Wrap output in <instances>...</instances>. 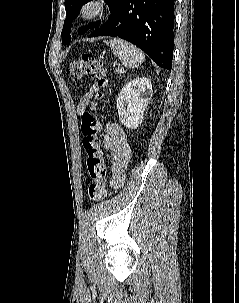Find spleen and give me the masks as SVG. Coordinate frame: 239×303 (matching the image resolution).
I'll return each instance as SVG.
<instances>
[{"label":"spleen","mask_w":239,"mask_h":303,"mask_svg":"<svg viewBox=\"0 0 239 303\" xmlns=\"http://www.w3.org/2000/svg\"><path fill=\"white\" fill-rule=\"evenodd\" d=\"M106 44L110 45L113 54L129 69L137 68L145 59L143 51L123 39H111Z\"/></svg>","instance_id":"obj_1"}]
</instances>
